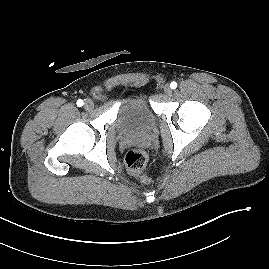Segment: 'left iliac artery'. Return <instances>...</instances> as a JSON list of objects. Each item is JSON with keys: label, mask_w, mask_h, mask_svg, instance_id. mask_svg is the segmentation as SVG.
Here are the masks:
<instances>
[{"label": "left iliac artery", "mask_w": 269, "mask_h": 269, "mask_svg": "<svg viewBox=\"0 0 269 269\" xmlns=\"http://www.w3.org/2000/svg\"><path fill=\"white\" fill-rule=\"evenodd\" d=\"M170 87L175 89L177 87V83L175 81L171 82Z\"/></svg>", "instance_id": "1"}]
</instances>
